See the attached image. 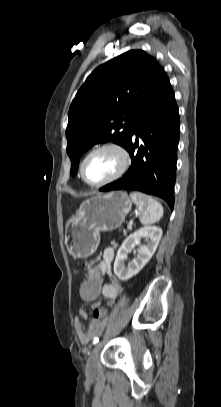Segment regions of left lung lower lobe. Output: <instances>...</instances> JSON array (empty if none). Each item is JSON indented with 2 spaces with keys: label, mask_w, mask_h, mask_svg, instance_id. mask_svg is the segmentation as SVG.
<instances>
[{
  "label": "left lung lower lobe",
  "mask_w": 221,
  "mask_h": 407,
  "mask_svg": "<svg viewBox=\"0 0 221 407\" xmlns=\"http://www.w3.org/2000/svg\"><path fill=\"white\" fill-rule=\"evenodd\" d=\"M179 134L178 107L166 75L132 127L125 147L132 158L128 172L100 190L141 191L164 199L173 210Z\"/></svg>",
  "instance_id": "left-lung-lower-lobe-1"
}]
</instances>
